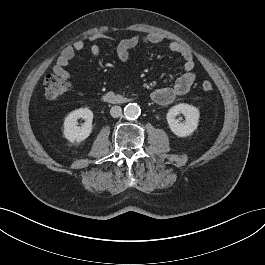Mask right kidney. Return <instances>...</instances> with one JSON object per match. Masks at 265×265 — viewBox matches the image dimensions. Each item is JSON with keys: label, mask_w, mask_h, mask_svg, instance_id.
Wrapping results in <instances>:
<instances>
[{"label": "right kidney", "mask_w": 265, "mask_h": 265, "mask_svg": "<svg viewBox=\"0 0 265 265\" xmlns=\"http://www.w3.org/2000/svg\"><path fill=\"white\" fill-rule=\"evenodd\" d=\"M83 118V125L77 126V120ZM93 112L88 108H79L72 111L64 120L63 134L70 142H81L89 137L92 132Z\"/></svg>", "instance_id": "1"}]
</instances>
